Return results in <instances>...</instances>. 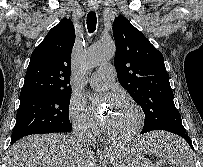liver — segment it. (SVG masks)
Wrapping results in <instances>:
<instances>
[{"label":"liver","mask_w":203,"mask_h":167,"mask_svg":"<svg viewBox=\"0 0 203 167\" xmlns=\"http://www.w3.org/2000/svg\"><path fill=\"white\" fill-rule=\"evenodd\" d=\"M124 150L112 145L105 157L112 164L114 155ZM6 167H97L94 152L77 146L72 136L63 134L31 135L10 147Z\"/></svg>","instance_id":"obj_1"}]
</instances>
